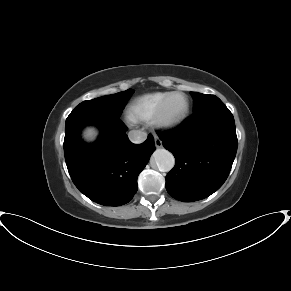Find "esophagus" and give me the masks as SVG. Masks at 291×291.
I'll return each mask as SVG.
<instances>
[{"instance_id": "1", "label": "esophagus", "mask_w": 291, "mask_h": 291, "mask_svg": "<svg viewBox=\"0 0 291 291\" xmlns=\"http://www.w3.org/2000/svg\"><path fill=\"white\" fill-rule=\"evenodd\" d=\"M154 142H155V146L157 148H161L162 147V141L157 136H154Z\"/></svg>"}]
</instances>
